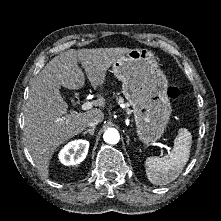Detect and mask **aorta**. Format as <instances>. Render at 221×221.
<instances>
[{"mask_svg": "<svg viewBox=\"0 0 221 221\" xmlns=\"http://www.w3.org/2000/svg\"><path fill=\"white\" fill-rule=\"evenodd\" d=\"M103 138L106 143L117 144L120 139V135L115 128H108L104 132Z\"/></svg>", "mask_w": 221, "mask_h": 221, "instance_id": "aorta-1", "label": "aorta"}]
</instances>
